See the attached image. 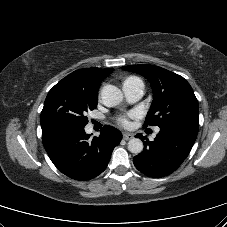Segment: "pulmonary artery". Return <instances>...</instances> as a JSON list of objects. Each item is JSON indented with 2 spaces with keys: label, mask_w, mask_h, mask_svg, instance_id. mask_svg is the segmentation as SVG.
Instances as JSON below:
<instances>
[{
  "label": "pulmonary artery",
  "mask_w": 227,
  "mask_h": 227,
  "mask_svg": "<svg viewBox=\"0 0 227 227\" xmlns=\"http://www.w3.org/2000/svg\"><path fill=\"white\" fill-rule=\"evenodd\" d=\"M123 91L129 102H135L143 96L144 84L140 79H129L123 83ZM156 132H159V128Z\"/></svg>",
  "instance_id": "1"
}]
</instances>
